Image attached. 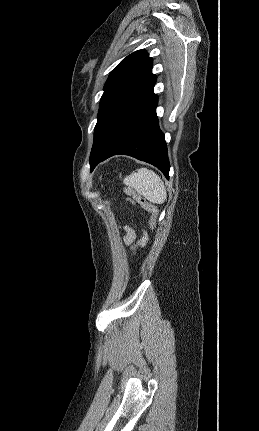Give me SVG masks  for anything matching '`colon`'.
Instances as JSON below:
<instances>
[{
  "label": "colon",
  "mask_w": 259,
  "mask_h": 431,
  "mask_svg": "<svg viewBox=\"0 0 259 431\" xmlns=\"http://www.w3.org/2000/svg\"><path fill=\"white\" fill-rule=\"evenodd\" d=\"M125 191L130 200L138 203L150 214L149 224L152 229H155L157 224L158 208L146 198L138 194L134 189L126 187Z\"/></svg>",
  "instance_id": "5ec220e1"
}]
</instances>
